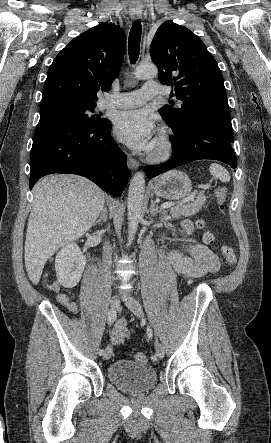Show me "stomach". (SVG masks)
<instances>
[{"mask_svg":"<svg viewBox=\"0 0 271 443\" xmlns=\"http://www.w3.org/2000/svg\"><path fill=\"white\" fill-rule=\"evenodd\" d=\"M152 190L155 196H159V198L181 200V198L190 194L192 182L184 172L171 170V172H167V174L153 180Z\"/></svg>","mask_w":271,"mask_h":443,"instance_id":"0dacf381","label":"stomach"}]
</instances>
